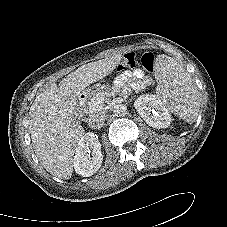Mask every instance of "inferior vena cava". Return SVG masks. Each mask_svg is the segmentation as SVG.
<instances>
[{
	"instance_id": "1",
	"label": "inferior vena cava",
	"mask_w": 227,
	"mask_h": 227,
	"mask_svg": "<svg viewBox=\"0 0 227 227\" xmlns=\"http://www.w3.org/2000/svg\"><path fill=\"white\" fill-rule=\"evenodd\" d=\"M105 117L103 111L92 113L88 119V125L94 129H99L104 125Z\"/></svg>"
}]
</instances>
